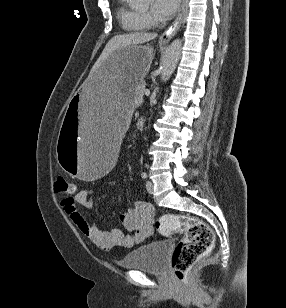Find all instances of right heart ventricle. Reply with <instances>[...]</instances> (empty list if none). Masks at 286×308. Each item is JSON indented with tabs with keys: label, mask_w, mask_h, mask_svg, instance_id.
I'll use <instances>...</instances> for the list:
<instances>
[{
	"label": "right heart ventricle",
	"mask_w": 286,
	"mask_h": 308,
	"mask_svg": "<svg viewBox=\"0 0 286 308\" xmlns=\"http://www.w3.org/2000/svg\"><path fill=\"white\" fill-rule=\"evenodd\" d=\"M117 18L123 30L128 32H142L149 28L150 22L145 15L132 8L127 0H119Z\"/></svg>",
	"instance_id": "obj_1"
}]
</instances>
